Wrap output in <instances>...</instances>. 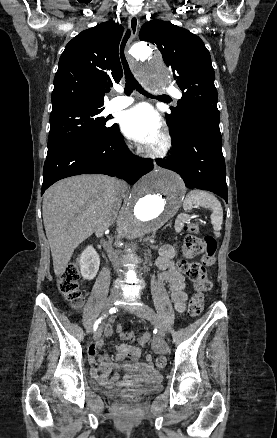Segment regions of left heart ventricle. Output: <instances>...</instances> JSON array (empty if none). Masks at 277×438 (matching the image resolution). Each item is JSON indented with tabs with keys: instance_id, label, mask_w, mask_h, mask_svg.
<instances>
[{
	"instance_id": "left-heart-ventricle-1",
	"label": "left heart ventricle",
	"mask_w": 277,
	"mask_h": 438,
	"mask_svg": "<svg viewBox=\"0 0 277 438\" xmlns=\"http://www.w3.org/2000/svg\"><path fill=\"white\" fill-rule=\"evenodd\" d=\"M160 143H161V140L159 139V140H158L157 142H155V144L152 146L151 150H155V149L159 148Z\"/></svg>"
}]
</instances>
